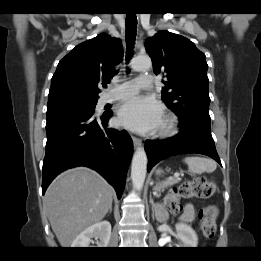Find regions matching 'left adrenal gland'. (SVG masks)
Here are the masks:
<instances>
[{
  "instance_id": "1",
  "label": "left adrenal gland",
  "mask_w": 261,
  "mask_h": 261,
  "mask_svg": "<svg viewBox=\"0 0 261 261\" xmlns=\"http://www.w3.org/2000/svg\"><path fill=\"white\" fill-rule=\"evenodd\" d=\"M150 203H151V205H152V217L154 218V208H155V203H154V200H153L151 194H150Z\"/></svg>"
}]
</instances>
